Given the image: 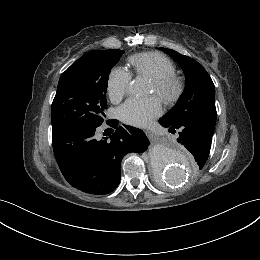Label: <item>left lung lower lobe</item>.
I'll return each mask as SVG.
<instances>
[{
	"label": "left lung lower lobe",
	"mask_w": 260,
	"mask_h": 260,
	"mask_svg": "<svg viewBox=\"0 0 260 260\" xmlns=\"http://www.w3.org/2000/svg\"><path fill=\"white\" fill-rule=\"evenodd\" d=\"M159 123L163 127L169 128L172 133H175V130L179 131L178 142L193 154L199 168L202 169L209 156L214 128L195 120H186L175 124L165 116L159 119Z\"/></svg>",
	"instance_id": "left-lung-lower-lobe-1"
}]
</instances>
